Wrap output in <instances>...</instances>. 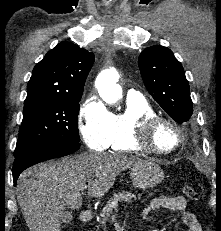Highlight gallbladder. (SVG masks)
<instances>
[{
    "label": "gallbladder",
    "instance_id": "gallbladder-1",
    "mask_svg": "<svg viewBox=\"0 0 221 231\" xmlns=\"http://www.w3.org/2000/svg\"><path fill=\"white\" fill-rule=\"evenodd\" d=\"M72 212L71 211H64L62 216H61V223L62 224H67L72 220Z\"/></svg>",
    "mask_w": 221,
    "mask_h": 231
}]
</instances>
